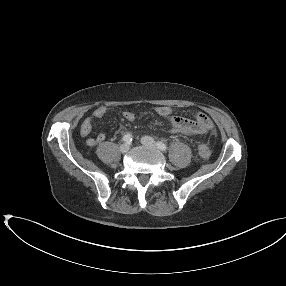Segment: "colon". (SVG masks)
Segmentation results:
<instances>
[{
	"mask_svg": "<svg viewBox=\"0 0 286 286\" xmlns=\"http://www.w3.org/2000/svg\"><path fill=\"white\" fill-rule=\"evenodd\" d=\"M198 153H199L201 158L207 159V158H209L211 151L206 144H201L198 147Z\"/></svg>",
	"mask_w": 286,
	"mask_h": 286,
	"instance_id": "1",
	"label": "colon"
}]
</instances>
